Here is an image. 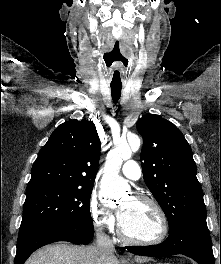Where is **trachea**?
<instances>
[{
  "mask_svg": "<svg viewBox=\"0 0 221 264\" xmlns=\"http://www.w3.org/2000/svg\"><path fill=\"white\" fill-rule=\"evenodd\" d=\"M122 85H111V95L114 103H116L121 97Z\"/></svg>",
  "mask_w": 221,
  "mask_h": 264,
  "instance_id": "trachea-1",
  "label": "trachea"
}]
</instances>
